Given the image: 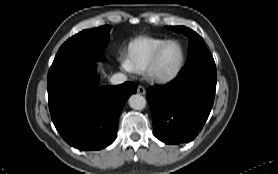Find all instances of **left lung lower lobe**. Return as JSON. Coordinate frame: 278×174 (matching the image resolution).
I'll list each match as a JSON object with an SVG mask.
<instances>
[{
	"mask_svg": "<svg viewBox=\"0 0 278 174\" xmlns=\"http://www.w3.org/2000/svg\"><path fill=\"white\" fill-rule=\"evenodd\" d=\"M217 74L196 70L178 74L163 86L146 92L155 136L167 144L193 140L211 111Z\"/></svg>",
	"mask_w": 278,
	"mask_h": 174,
	"instance_id": "1",
	"label": "left lung lower lobe"
}]
</instances>
